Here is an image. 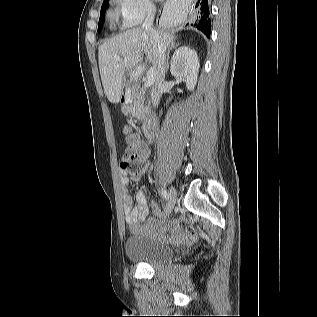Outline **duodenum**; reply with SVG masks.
I'll use <instances>...</instances> for the list:
<instances>
[{
  "label": "duodenum",
  "instance_id": "1",
  "mask_svg": "<svg viewBox=\"0 0 317 317\" xmlns=\"http://www.w3.org/2000/svg\"><path fill=\"white\" fill-rule=\"evenodd\" d=\"M122 109L127 115L132 113L130 100H122ZM158 132V123L154 116H148L145 119L144 136L148 141L154 140Z\"/></svg>",
  "mask_w": 317,
  "mask_h": 317
}]
</instances>
